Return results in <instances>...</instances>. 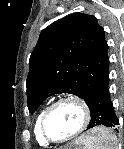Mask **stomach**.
<instances>
[{"instance_id": "1", "label": "stomach", "mask_w": 124, "mask_h": 149, "mask_svg": "<svg viewBox=\"0 0 124 149\" xmlns=\"http://www.w3.org/2000/svg\"><path fill=\"white\" fill-rule=\"evenodd\" d=\"M97 128L89 131L87 134L83 135L79 140H77L74 144H71L66 149H85L84 139L90 138L96 135ZM84 147V148H80Z\"/></svg>"}]
</instances>
